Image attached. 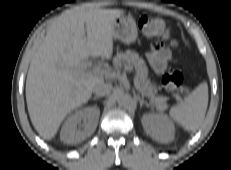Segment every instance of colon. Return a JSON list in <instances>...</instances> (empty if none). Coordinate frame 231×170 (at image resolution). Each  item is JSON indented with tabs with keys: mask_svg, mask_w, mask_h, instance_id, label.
Instances as JSON below:
<instances>
[{
	"mask_svg": "<svg viewBox=\"0 0 231 170\" xmlns=\"http://www.w3.org/2000/svg\"><path fill=\"white\" fill-rule=\"evenodd\" d=\"M138 27L145 36L169 37V29L165 21L158 17L143 15L138 20ZM172 44L177 46L178 43L173 40ZM182 82L183 74L181 71H174L162 78L163 86L172 95H177L180 92Z\"/></svg>",
	"mask_w": 231,
	"mask_h": 170,
	"instance_id": "obj_1",
	"label": "colon"
}]
</instances>
